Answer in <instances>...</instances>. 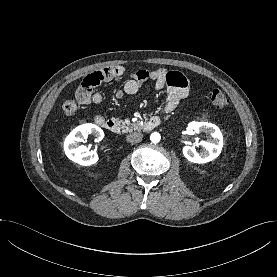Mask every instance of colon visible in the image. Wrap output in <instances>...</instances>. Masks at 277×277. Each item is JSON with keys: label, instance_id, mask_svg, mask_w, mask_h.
Wrapping results in <instances>:
<instances>
[{"label": "colon", "instance_id": "5ec220e1", "mask_svg": "<svg viewBox=\"0 0 277 277\" xmlns=\"http://www.w3.org/2000/svg\"><path fill=\"white\" fill-rule=\"evenodd\" d=\"M210 102L216 109H224L228 105V97L221 90H214L210 95ZM78 108V104L74 100H67L62 103L61 110L67 115H73Z\"/></svg>", "mask_w": 277, "mask_h": 277}]
</instances>
